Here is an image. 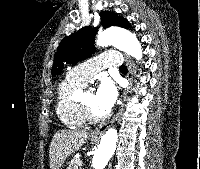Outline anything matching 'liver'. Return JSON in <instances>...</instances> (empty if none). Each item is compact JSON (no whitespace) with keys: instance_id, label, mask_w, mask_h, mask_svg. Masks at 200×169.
Returning a JSON list of instances; mask_svg holds the SVG:
<instances>
[{"instance_id":"liver-1","label":"liver","mask_w":200,"mask_h":169,"mask_svg":"<svg viewBox=\"0 0 200 169\" xmlns=\"http://www.w3.org/2000/svg\"><path fill=\"white\" fill-rule=\"evenodd\" d=\"M88 135V132L80 130L63 129L57 131L50 144V169H59L71 154L85 144Z\"/></svg>"}]
</instances>
